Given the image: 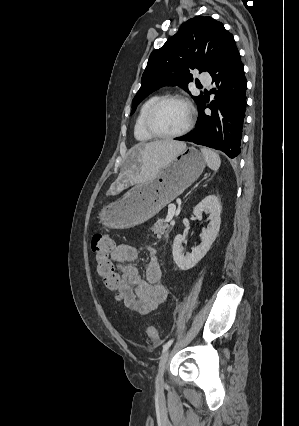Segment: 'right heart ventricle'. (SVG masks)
<instances>
[{
  "label": "right heart ventricle",
  "mask_w": 299,
  "mask_h": 426,
  "mask_svg": "<svg viewBox=\"0 0 299 426\" xmlns=\"http://www.w3.org/2000/svg\"><path fill=\"white\" fill-rule=\"evenodd\" d=\"M161 97V94H153L149 96L140 106L134 124V136L138 141L146 142L154 139V137L150 135L145 128V117L152 104Z\"/></svg>",
  "instance_id": "obj_1"
}]
</instances>
